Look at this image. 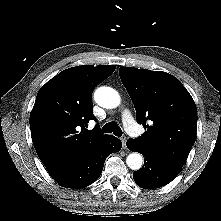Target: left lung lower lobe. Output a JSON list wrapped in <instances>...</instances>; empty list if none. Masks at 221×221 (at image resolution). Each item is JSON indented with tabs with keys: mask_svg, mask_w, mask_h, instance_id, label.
<instances>
[{
	"mask_svg": "<svg viewBox=\"0 0 221 221\" xmlns=\"http://www.w3.org/2000/svg\"><path fill=\"white\" fill-rule=\"evenodd\" d=\"M129 150L139 152L144 156V166L133 173L136 184L144 189H156L167 185L181 171L177 166L158 155L153 150L140 144L135 139L126 143Z\"/></svg>",
	"mask_w": 221,
	"mask_h": 221,
	"instance_id": "1",
	"label": "left lung lower lobe"
}]
</instances>
